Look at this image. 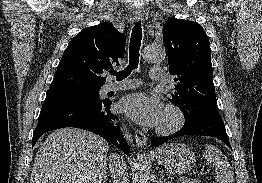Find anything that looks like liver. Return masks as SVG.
Listing matches in <instances>:
<instances>
[{"mask_svg": "<svg viewBox=\"0 0 262 183\" xmlns=\"http://www.w3.org/2000/svg\"><path fill=\"white\" fill-rule=\"evenodd\" d=\"M108 150L92 132L55 130L37 151L30 183H106Z\"/></svg>", "mask_w": 262, "mask_h": 183, "instance_id": "obj_1", "label": "liver"}]
</instances>
